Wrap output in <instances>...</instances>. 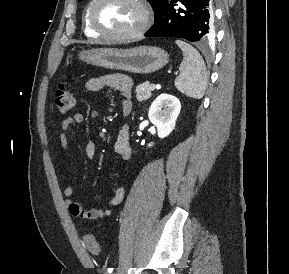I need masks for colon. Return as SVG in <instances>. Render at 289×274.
<instances>
[{
	"label": "colon",
	"instance_id": "5ec220e1",
	"mask_svg": "<svg viewBox=\"0 0 289 274\" xmlns=\"http://www.w3.org/2000/svg\"><path fill=\"white\" fill-rule=\"evenodd\" d=\"M74 101L75 97L71 85L67 82L60 83L55 92V105L57 109L61 113H67L73 108ZM84 243L87 250L92 254L97 255L100 253L101 246L93 235H85Z\"/></svg>",
	"mask_w": 289,
	"mask_h": 274
}]
</instances>
